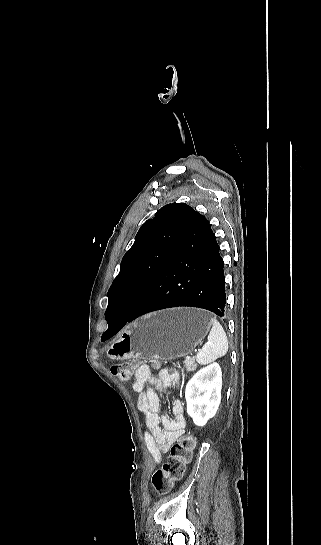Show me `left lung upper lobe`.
Segmentation results:
<instances>
[{
	"label": "left lung upper lobe",
	"instance_id": "1",
	"mask_svg": "<svg viewBox=\"0 0 321 545\" xmlns=\"http://www.w3.org/2000/svg\"><path fill=\"white\" fill-rule=\"evenodd\" d=\"M193 211L185 203L167 204L140 227L108 291L106 320L114 311L130 313L139 304L165 265Z\"/></svg>",
	"mask_w": 321,
	"mask_h": 545
}]
</instances>
